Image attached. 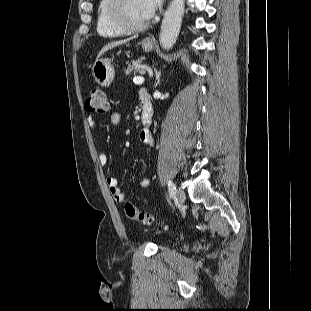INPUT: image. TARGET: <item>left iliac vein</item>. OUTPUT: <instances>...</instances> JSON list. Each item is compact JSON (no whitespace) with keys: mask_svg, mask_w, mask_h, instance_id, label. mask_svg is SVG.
I'll return each mask as SVG.
<instances>
[{"mask_svg":"<svg viewBox=\"0 0 311 311\" xmlns=\"http://www.w3.org/2000/svg\"><path fill=\"white\" fill-rule=\"evenodd\" d=\"M176 199L179 204H183L185 201V192L183 189L179 188L176 192Z\"/></svg>","mask_w":311,"mask_h":311,"instance_id":"obj_1","label":"left iliac vein"}]
</instances>
